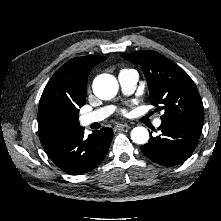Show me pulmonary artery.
I'll return each instance as SVG.
<instances>
[{"instance_id":"1","label":"pulmonary artery","mask_w":221,"mask_h":221,"mask_svg":"<svg viewBox=\"0 0 221 221\" xmlns=\"http://www.w3.org/2000/svg\"><path fill=\"white\" fill-rule=\"evenodd\" d=\"M118 80L121 87V90L124 94H132L137 86L138 82V73L132 69H123L118 74ZM114 111L113 106H106L100 109H97L93 112L84 114L81 117V123L84 126L90 125L94 122H99L106 117H108ZM161 119H156L154 125L159 127L161 125Z\"/></svg>"}]
</instances>
